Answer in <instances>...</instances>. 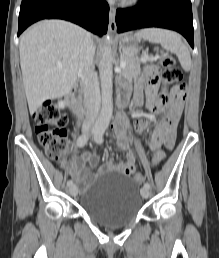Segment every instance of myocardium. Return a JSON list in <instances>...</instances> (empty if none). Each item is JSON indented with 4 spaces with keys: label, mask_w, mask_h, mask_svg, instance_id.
<instances>
[{
    "label": "myocardium",
    "mask_w": 219,
    "mask_h": 258,
    "mask_svg": "<svg viewBox=\"0 0 219 258\" xmlns=\"http://www.w3.org/2000/svg\"><path fill=\"white\" fill-rule=\"evenodd\" d=\"M139 0H123V3L125 4V5H133V4H135V3H137Z\"/></svg>",
    "instance_id": "obj_1"
}]
</instances>
